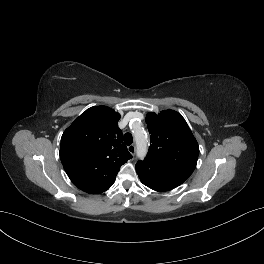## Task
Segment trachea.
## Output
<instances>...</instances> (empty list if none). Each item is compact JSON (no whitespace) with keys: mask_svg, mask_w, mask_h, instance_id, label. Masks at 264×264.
I'll return each instance as SVG.
<instances>
[{"mask_svg":"<svg viewBox=\"0 0 264 264\" xmlns=\"http://www.w3.org/2000/svg\"><path fill=\"white\" fill-rule=\"evenodd\" d=\"M123 139H124V142H125L126 145H131L132 142H133V137H132V135L130 133H126L124 135Z\"/></svg>","mask_w":264,"mask_h":264,"instance_id":"obj_1","label":"trachea"}]
</instances>
